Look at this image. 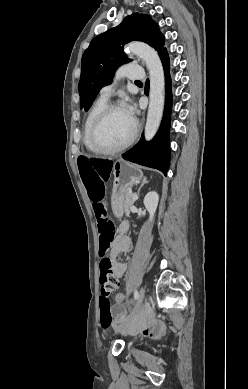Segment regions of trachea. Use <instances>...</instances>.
<instances>
[{
	"instance_id": "1",
	"label": "trachea",
	"mask_w": 248,
	"mask_h": 389,
	"mask_svg": "<svg viewBox=\"0 0 248 389\" xmlns=\"http://www.w3.org/2000/svg\"><path fill=\"white\" fill-rule=\"evenodd\" d=\"M135 82H140L139 80H136Z\"/></svg>"
}]
</instances>
